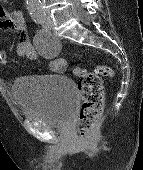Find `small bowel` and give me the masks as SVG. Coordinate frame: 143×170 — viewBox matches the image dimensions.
Instances as JSON below:
<instances>
[{
    "label": "small bowel",
    "mask_w": 143,
    "mask_h": 170,
    "mask_svg": "<svg viewBox=\"0 0 143 170\" xmlns=\"http://www.w3.org/2000/svg\"><path fill=\"white\" fill-rule=\"evenodd\" d=\"M9 29H15L19 34V41L16 47L19 56L36 61L41 59V55L27 37V25L23 12L21 10L9 11L0 5V31ZM50 45L55 51L59 48L58 42L54 40L50 41ZM60 60V58L52 57L49 62L50 70L58 72ZM6 61V54L0 48V65H4Z\"/></svg>",
    "instance_id": "c3829d8e"
}]
</instances>
